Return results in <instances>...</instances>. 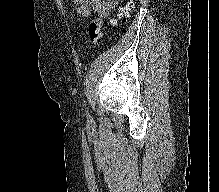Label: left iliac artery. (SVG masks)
<instances>
[{
  "instance_id": "44dca946",
  "label": "left iliac artery",
  "mask_w": 219,
  "mask_h": 192,
  "mask_svg": "<svg viewBox=\"0 0 219 192\" xmlns=\"http://www.w3.org/2000/svg\"><path fill=\"white\" fill-rule=\"evenodd\" d=\"M84 106L86 107V102L85 101H84ZM86 116H87V118H90L88 110H86Z\"/></svg>"
}]
</instances>
